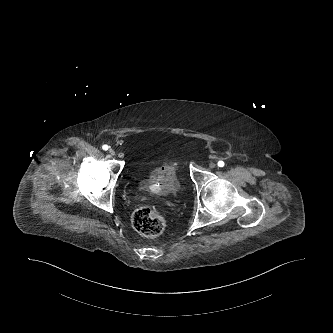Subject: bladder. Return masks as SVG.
Listing matches in <instances>:
<instances>
[{"label": "bladder", "mask_w": 333, "mask_h": 333, "mask_svg": "<svg viewBox=\"0 0 333 333\" xmlns=\"http://www.w3.org/2000/svg\"><path fill=\"white\" fill-rule=\"evenodd\" d=\"M138 186L155 194H174L178 192L180 183L173 168L156 166L137 182Z\"/></svg>", "instance_id": "bladder-1"}]
</instances>
